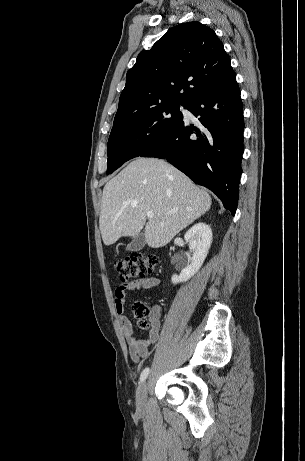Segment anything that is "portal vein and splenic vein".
I'll use <instances>...</instances> for the list:
<instances>
[{
	"label": "portal vein and splenic vein",
	"instance_id": "portal-vein-and-splenic-vein-1",
	"mask_svg": "<svg viewBox=\"0 0 305 461\" xmlns=\"http://www.w3.org/2000/svg\"><path fill=\"white\" fill-rule=\"evenodd\" d=\"M146 216H147L149 219H151V218L154 217V213H153L152 211H148V212H146Z\"/></svg>",
	"mask_w": 305,
	"mask_h": 461
}]
</instances>
